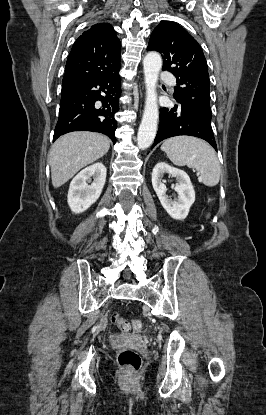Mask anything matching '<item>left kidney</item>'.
<instances>
[{"label": "left kidney", "mask_w": 266, "mask_h": 415, "mask_svg": "<svg viewBox=\"0 0 266 415\" xmlns=\"http://www.w3.org/2000/svg\"><path fill=\"white\" fill-rule=\"evenodd\" d=\"M168 173L177 180L174 190L178 194V200L173 201L166 195L167 188L163 183L164 175ZM152 185L166 212L176 220L187 217L191 205L195 201V191L188 174L178 168L171 167L165 162L155 165L152 172Z\"/></svg>", "instance_id": "1"}]
</instances>
